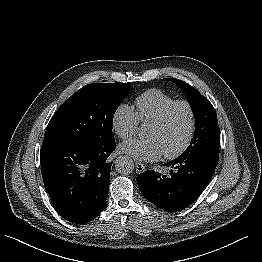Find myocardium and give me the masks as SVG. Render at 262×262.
<instances>
[{
  "label": "myocardium",
  "instance_id": "1",
  "mask_svg": "<svg viewBox=\"0 0 262 262\" xmlns=\"http://www.w3.org/2000/svg\"><path fill=\"white\" fill-rule=\"evenodd\" d=\"M178 105H184L188 108L189 114H190V127H189V132H188V135L184 143L176 151L172 153L163 154L164 157L169 160L178 158L190 147L193 141L194 135H195V131H196V123H197L196 110L193 104L188 100H184V99L175 100L172 103H170L168 106H166L156 119L150 122V125H154V126L164 125L170 113L172 112V110Z\"/></svg>",
  "mask_w": 262,
  "mask_h": 262
}]
</instances>
